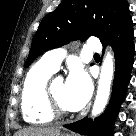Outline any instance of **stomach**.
<instances>
[{
  "instance_id": "1",
  "label": "stomach",
  "mask_w": 136,
  "mask_h": 136,
  "mask_svg": "<svg viewBox=\"0 0 136 136\" xmlns=\"http://www.w3.org/2000/svg\"><path fill=\"white\" fill-rule=\"evenodd\" d=\"M56 136H70V135H68V134H60V133H58Z\"/></svg>"
}]
</instances>
